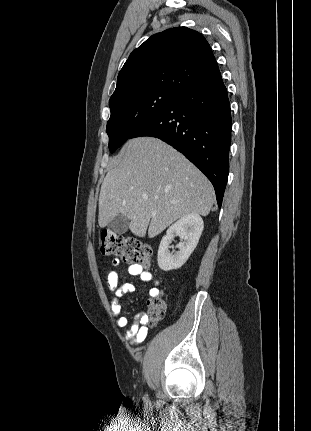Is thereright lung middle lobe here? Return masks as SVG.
Listing matches in <instances>:
<instances>
[{"label":"right lung middle lobe","mask_w":311,"mask_h":431,"mask_svg":"<svg viewBox=\"0 0 311 431\" xmlns=\"http://www.w3.org/2000/svg\"><path fill=\"white\" fill-rule=\"evenodd\" d=\"M178 96L174 92L147 89L110 98L111 116L107 123V134L111 153Z\"/></svg>","instance_id":"1"}]
</instances>
